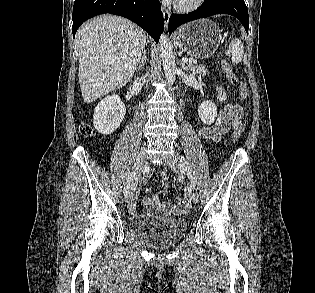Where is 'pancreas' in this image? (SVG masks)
I'll use <instances>...</instances> for the list:
<instances>
[{
  "label": "pancreas",
  "instance_id": "pancreas-1",
  "mask_svg": "<svg viewBox=\"0 0 315 293\" xmlns=\"http://www.w3.org/2000/svg\"><path fill=\"white\" fill-rule=\"evenodd\" d=\"M187 66H188V70H190L192 72V74L198 78H200L201 76H205V75L209 74L207 69L203 65H198L194 61L190 60L187 63Z\"/></svg>",
  "mask_w": 315,
  "mask_h": 293
}]
</instances>
